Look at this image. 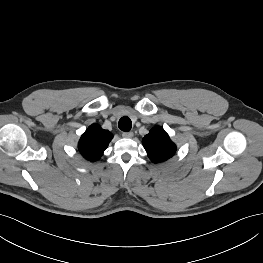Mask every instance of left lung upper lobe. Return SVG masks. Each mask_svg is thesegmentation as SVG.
I'll return each instance as SVG.
<instances>
[{
	"instance_id": "obj_1",
	"label": "left lung upper lobe",
	"mask_w": 263,
	"mask_h": 263,
	"mask_svg": "<svg viewBox=\"0 0 263 263\" xmlns=\"http://www.w3.org/2000/svg\"><path fill=\"white\" fill-rule=\"evenodd\" d=\"M142 143L148 157L154 163L171 158L176 151V146L170 140L169 135L159 126L152 128L149 134L144 136Z\"/></svg>"
}]
</instances>
